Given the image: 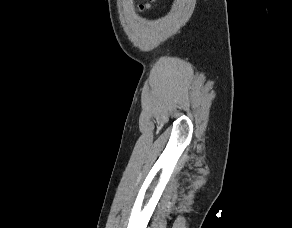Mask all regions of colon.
Instances as JSON below:
<instances>
[{"label":"colon","mask_w":292,"mask_h":228,"mask_svg":"<svg viewBox=\"0 0 292 228\" xmlns=\"http://www.w3.org/2000/svg\"><path fill=\"white\" fill-rule=\"evenodd\" d=\"M154 1H155V0H151L150 3L141 4V5L139 6V9H140L141 11H145V10L150 9L151 4H152Z\"/></svg>","instance_id":"1"}]
</instances>
